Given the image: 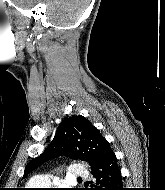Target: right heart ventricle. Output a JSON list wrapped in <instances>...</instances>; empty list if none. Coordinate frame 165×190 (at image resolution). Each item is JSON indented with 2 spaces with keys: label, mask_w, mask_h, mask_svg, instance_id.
<instances>
[{
  "label": "right heart ventricle",
  "mask_w": 165,
  "mask_h": 190,
  "mask_svg": "<svg viewBox=\"0 0 165 190\" xmlns=\"http://www.w3.org/2000/svg\"><path fill=\"white\" fill-rule=\"evenodd\" d=\"M30 185H31V186H38V185H41V184H39V183H37V182H35V181H32V182L30 183Z\"/></svg>",
  "instance_id": "right-heart-ventricle-1"
}]
</instances>
